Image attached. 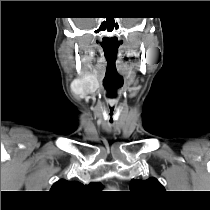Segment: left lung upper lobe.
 Segmentation results:
<instances>
[{
	"instance_id": "left-lung-upper-lobe-1",
	"label": "left lung upper lobe",
	"mask_w": 210,
	"mask_h": 210,
	"mask_svg": "<svg viewBox=\"0 0 210 210\" xmlns=\"http://www.w3.org/2000/svg\"><path fill=\"white\" fill-rule=\"evenodd\" d=\"M130 189L139 193H154L164 190L163 186L155 178H149L147 180L132 179Z\"/></svg>"
}]
</instances>
